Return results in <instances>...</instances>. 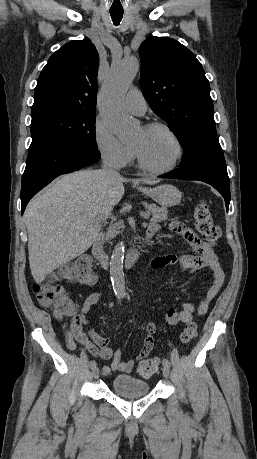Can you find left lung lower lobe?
<instances>
[{"instance_id": "left-lung-lower-lobe-1", "label": "left lung lower lobe", "mask_w": 257, "mask_h": 459, "mask_svg": "<svg viewBox=\"0 0 257 459\" xmlns=\"http://www.w3.org/2000/svg\"><path fill=\"white\" fill-rule=\"evenodd\" d=\"M159 177L199 180L212 185L224 197L228 212L230 181L217 133H210L202 139L197 159L190 163L181 162L179 169Z\"/></svg>"}]
</instances>
